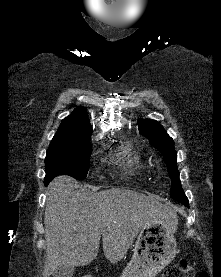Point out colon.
Returning <instances> with one entry per match:
<instances>
[{
  "mask_svg": "<svg viewBox=\"0 0 221 277\" xmlns=\"http://www.w3.org/2000/svg\"><path fill=\"white\" fill-rule=\"evenodd\" d=\"M194 269L192 265L185 259L178 264L168 267L162 277H194ZM198 277H208L205 272H201Z\"/></svg>",
  "mask_w": 221,
  "mask_h": 277,
  "instance_id": "5ec220e1",
  "label": "colon"
}]
</instances>
